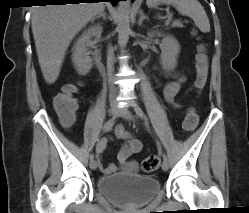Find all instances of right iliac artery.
Listing matches in <instances>:
<instances>
[{"mask_svg":"<svg viewBox=\"0 0 249 213\" xmlns=\"http://www.w3.org/2000/svg\"><path fill=\"white\" fill-rule=\"evenodd\" d=\"M115 122H116V117H113V118L109 119V120L104 124V131H105V132L110 131V130L112 129V127L114 126ZM89 158H90V160H93V159H94V155L91 154Z\"/></svg>","mask_w":249,"mask_h":213,"instance_id":"right-iliac-artery-1","label":"right iliac artery"}]
</instances>
